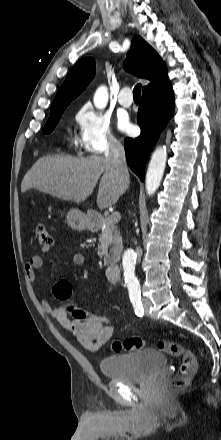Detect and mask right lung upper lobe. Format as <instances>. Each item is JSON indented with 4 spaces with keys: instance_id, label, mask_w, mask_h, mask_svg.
<instances>
[{
    "instance_id": "1",
    "label": "right lung upper lobe",
    "mask_w": 221,
    "mask_h": 440,
    "mask_svg": "<svg viewBox=\"0 0 221 440\" xmlns=\"http://www.w3.org/2000/svg\"><path fill=\"white\" fill-rule=\"evenodd\" d=\"M124 68L132 74L150 80L143 93L154 90L169 82L164 62L155 50L139 35L132 39V45L127 53ZM95 75V61L93 58H84L78 61L70 70L61 88L52 103L53 108L68 106Z\"/></svg>"
}]
</instances>
